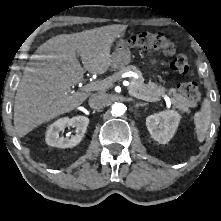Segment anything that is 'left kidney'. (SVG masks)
I'll return each mask as SVG.
<instances>
[{
  "mask_svg": "<svg viewBox=\"0 0 221 221\" xmlns=\"http://www.w3.org/2000/svg\"><path fill=\"white\" fill-rule=\"evenodd\" d=\"M180 119L177 111L169 110L148 116L146 125L155 141L166 144L174 136Z\"/></svg>",
  "mask_w": 221,
  "mask_h": 221,
  "instance_id": "obj_1",
  "label": "left kidney"
}]
</instances>
